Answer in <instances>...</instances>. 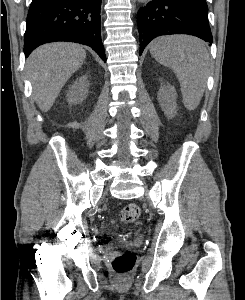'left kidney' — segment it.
I'll use <instances>...</instances> for the list:
<instances>
[{
    "label": "left kidney",
    "instance_id": "obj_1",
    "mask_svg": "<svg viewBox=\"0 0 245 300\" xmlns=\"http://www.w3.org/2000/svg\"><path fill=\"white\" fill-rule=\"evenodd\" d=\"M158 100L165 113L172 114L175 111L176 92L173 87H161L158 93Z\"/></svg>",
    "mask_w": 245,
    "mask_h": 300
}]
</instances>
